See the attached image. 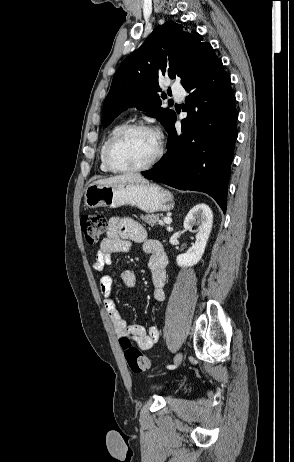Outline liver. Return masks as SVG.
<instances>
[{
	"label": "liver",
	"instance_id": "obj_1",
	"mask_svg": "<svg viewBox=\"0 0 294 462\" xmlns=\"http://www.w3.org/2000/svg\"><path fill=\"white\" fill-rule=\"evenodd\" d=\"M147 183V180L138 174L127 173L123 175H118L106 179H100L95 181L97 185H111L117 183Z\"/></svg>",
	"mask_w": 294,
	"mask_h": 462
}]
</instances>
